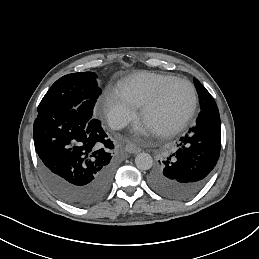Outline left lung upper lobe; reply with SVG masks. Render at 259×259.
<instances>
[{"mask_svg": "<svg viewBox=\"0 0 259 259\" xmlns=\"http://www.w3.org/2000/svg\"><path fill=\"white\" fill-rule=\"evenodd\" d=\"M194 84H195V86L197 88V92L199 94L201 110L217 106L213 97L210 95V93L207 91V89L197 79H194Z\"/></svg>", "mask_w": 259, "mask_h": 259, "instance_id": "left-lung-upper-lobe-1", "label": "left lung upper lobe"}]
</instances>
